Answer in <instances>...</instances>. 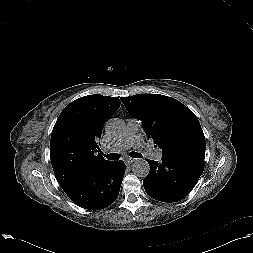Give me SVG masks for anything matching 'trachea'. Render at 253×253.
Wrapping results in <instances>:
<instances>
[{
  "label": "trachea",
  "mask_w": 253,
  "mask_h": 253,
  "mask_svg": "<svg viewBox=\"0 0 253 253\" xmlns=\"http://www.w3.org/2000/svg\"><path fill=\"white\" fill-rule=\"evenodd\" d=\"M129 155L132 158H141L142 157V155L140 153H137V152H134V151L130 152ZM105 157L109 160H118L119 159V154L110 153V154L105 155Z\"/></svg>",
  "instance_id": "1"
}]
</instances>
